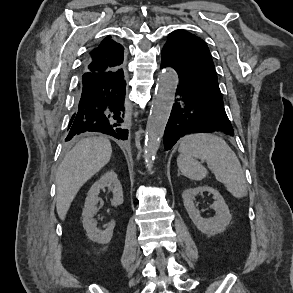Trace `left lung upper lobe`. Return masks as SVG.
<instances>
[{
	"instance_id": "5c2ea615",
	"label": "left lung upper lobe",
	"mask_w": 293,
	"mask_h": 293,
	"mask_svg": "<svg viewBox=\"0 0 293 293\" xmlns=\"http://www.w3.org/2000/svg\"><path fill=\"white\" fill-rule=\"evenodd\" d=\"M163 49L170 54L183 79L222 98L209 48L201 38L175 30Z\"/></svg>"
}]
</instances>
